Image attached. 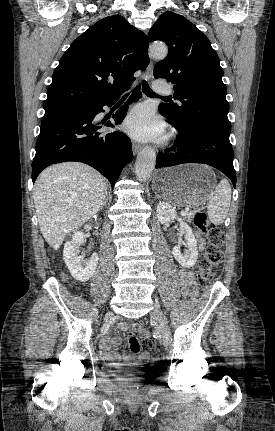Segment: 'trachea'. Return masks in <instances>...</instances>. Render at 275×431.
Listing matches in <instances>:
<instances>
[{"mask_svg": "<svg viewBox=\"0 0 275 431\" xmlns=\"http://www.w3.org/2000/svg\"><path fill=\"white\" fill-rule=\"evenodd\" d=\"M142 91L147 96H156V94L151 90V88L149 87L146 81H143ZM124 96H128V93L125 94ZM164 98H169V97H164Z\"/></svg>", "mask_w": 275, "mask_h": 431, "instance_id": "1", "label": "trachea"}]
</instances>
